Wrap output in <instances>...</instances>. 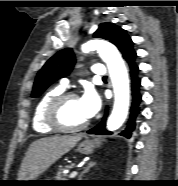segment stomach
I'll return each instance as SVG.
<instances>
[{
  "label": "stomach",
  "instance_id": "0dacf381",
  "mask_svg": "<svg viewBox=\"0 0 178 186\" xmlns=\"http://www.w3.org/2000/svg\"><path fill=\"white\" fill-rule=\"evenodd\" d=\"M85 139L78 145V151L82 154L88 155L91 154L96 148L100 146V141L98 139H90L89 137L85 136ZM30 181H42L33 179ZM28 185H41L39 182H29Z\"/></svg>",
  "mask_w": 178,
  "mask_h": 186
}]
</instances>
